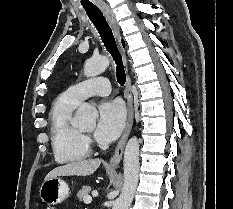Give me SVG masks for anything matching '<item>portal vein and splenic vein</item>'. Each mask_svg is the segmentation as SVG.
I'll list each match as a JSON object with an SVG mask.
<instances>
[{"label":"portal vein and splenic vein","mask_w":233,"mask_h":209,"mask_svg":"<svg viewBox=\"0 0 233 209\" xmlns=\"http://www.w3.org/2000/svg\"><path fill=\"white\" fill-rule=\"evenodd\" d=\"M92 202V198L90 196H87L84 198V203L85 204H90Z\"/></svg>","instance_id":"portal-vein-and-splenic-vein-1"}]
</instances>
